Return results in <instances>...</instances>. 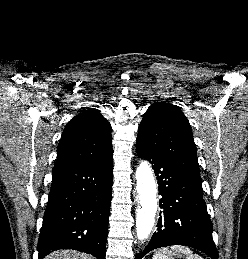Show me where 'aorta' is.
I'll use <instances>...</instances> for the list:
<instances>
[{
	"instance_id": "obj_1",
	"label": "aorta",
	"mask_w": 248,
	"mask_h": 259,
	"mask_svg": "<svg viewBox=\"0 0 248 259\" xmlns=\"http://www.w3.org/2000/svg\"><path fill=\"white\" fill-rule=\"evenodd\" d=\"M136 178V235L138 240L143 242L148 239L155 224L158 191L153 171L148 162L140 163L136 171Z\"/></svg>"
}]
</instances>
